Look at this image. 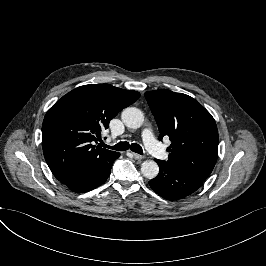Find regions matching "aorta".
I'll return each instance as SVG.
<instances>
[{
    "instance_id": "1",
    "label": "aorta",
    "mask_w": 266,
    "mask_h": 266,
    "mask_svg": "<svg viewBox=\"0 0 266 266\" xmlns=\"http://www.w3.org/2000/svg\"><path fill=\"white\" fill-rule=\"evenodd\" d=\"M121 119L128 128L138 129L143 124L144 115L140 109L128 107L123 110ZM141 173L147 179H154L159 173V166L153 160H146L141 164Z\"/></svg>"
}]
</instances>
